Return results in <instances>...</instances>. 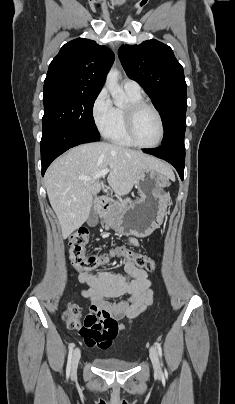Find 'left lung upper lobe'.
<instances>
[{"mask_svg":"<svg viewBox=\"0 0 235 404\" xmlns=\"http://www.w3.org/2000/svg\"><path fill=\"white\" fill-rule=\"evenodd\" d=\"M118 55L129 78L143 87L162 116V145L184 141L187 85L172 49L157 40H147L121 46Z\"/></svg>","mask_w":235,"mask_h":404,"instance_id":"obj_1","label":"left lung upper lobe"}]
</instances>
